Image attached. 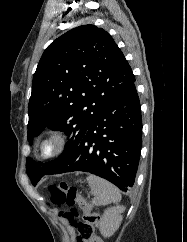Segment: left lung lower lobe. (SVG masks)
<instances>
[{
	"instance_id": "1",
	"label": "left lung lower lobe",
	"mask_w": 187,
	"mask_h": 242,
	"mask_svg": "<svg viewBox=\"0 0 187 242\" xmlns=\"http://www.w3.org/2000/svg\"><path fill=\"white\" fill-rule=\"evenodd\" d=\"M134 82L102 110L75 150L47 174L82 171L105 178L125 192L133 186L142 144V116ZM42 176L32 179V184Z\"/></svg>"
}]
</instances>
